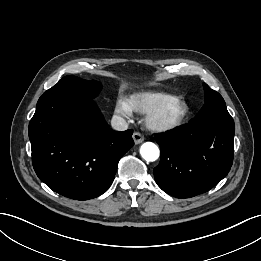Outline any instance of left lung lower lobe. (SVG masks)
Listing matches in <instances>:
<instances>
[{
  "label": "left lung lower lobe",
  "instance_id": "left-lung-lower-lobe-1",
  "mask_svg": "<svg viewBox=\"0 0 261 261\" xmlns=\"http://www.w3.org/2000/svg\"><path fill=\"white\" fill-rule=\"evenodd\" d=\"M233 120L190 121L166 133L156 134L160 163L154 178L166 193L190 198L214 187L230 171L233 162Z\"/></svg>",
  "mask_w": 261,
  "mask_h": 261
}]
</instances>
